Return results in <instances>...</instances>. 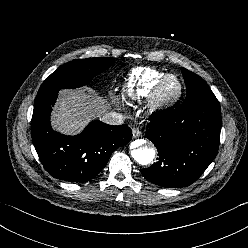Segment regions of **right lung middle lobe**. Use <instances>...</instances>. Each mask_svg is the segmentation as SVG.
Listing matches in <instances>:
<instances>
[{
  "instance_id": "dd1d6c3e",
  "label": "right lung middle lobe",
  "mask_w": 248,
  "mask_h": 248,
  "mask_svg": "<svg viewBox=\"0 0 248 248\" xmlns=\"http://www.w3.org/2000/svg\"><path fill=\"white\" fill-rule=\"evenodd\" d=\"M113 62L114 59L110 57L78 59L68 62L44 80L38 93L81 87L108 69Z\"/></svg>"
}]
</instances>
